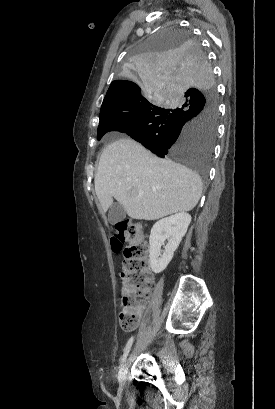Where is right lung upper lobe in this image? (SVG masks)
<instances>
[{
  "mask_svg": "<svg viewBox=\"0 0 275 409\" xmlns=\"http://www.w3.org/2000/svg\"><path fill=\"white\" fill-rule=\"evenodd\" d=\"M143 94L144 90H139L138 85H129L125 80L113 81L106 93L100 112L114 107L124 99L143 96Z\"/></svg>",
  "mask_w": 275,
  "mask_h": 409,
  "instance_id": "1",
  "label": "right lung upper lobe"
}]
</instances>
